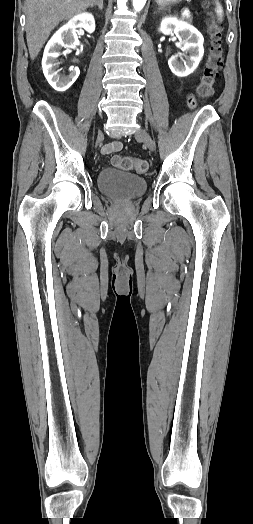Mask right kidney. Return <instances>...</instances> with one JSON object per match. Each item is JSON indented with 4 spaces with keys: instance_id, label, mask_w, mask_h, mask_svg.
Here are the masks:
<instances>
[{
    "instance_id": "ca27d5eb",
    "label": "right kidney",
    "mask_w": 253,
    "mask_h": 524,
    "mask_svg": "<svg viewBox=\"0 0 253 524\" xmlns=\"http://www.w3.org/2000/svg\"><path fill=\"white\" fill-rule=\"evenodd\" d=\"M76 28H84L89 33L95 30V20L92 14L82 13L74 16L67 24L62 26L48 41L42 59L43 73L49 82V84L57 91H66L78 78L79 69L71 68L70 74L59 75L56 70L59 62L57 58L60 56V50L62 47L67 51L79 45L78 37L76 34Z\"/></svg>"
}]
</instances>
